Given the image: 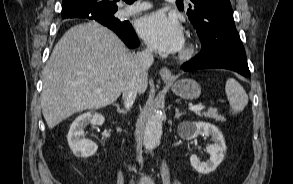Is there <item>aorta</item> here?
I'll return each mask as SVG.
<instances>
[{
    "instance_id": "aorta-1",
    "label": "aorta",
    "mask_w": 293,
    "mask_h": 184,
    "mask_svg": "<svg viewBox=\"0 0 293 184\" xmlns=\"http://www.w3.org/2000/svg\"><path fill=\"white\" fill-rule=\"evenodd\" d=\"M163 117L159 111H155L148 119L144 130L143 145L146 149H154L159 143L162 135Z\"/></svg>"
}]
</instances>
